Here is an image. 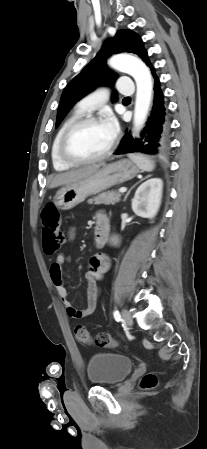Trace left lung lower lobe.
<instances>
[{
	"mask_svg": "<svg viewBox=\"0 0 207 449\" xmlns=\"http://www.w3.org/2000/svg\"><path fill=\"white\" fill-rule=\"evenodd\" d=\"M150 68L154 79V99L151 115L145 128L140 133L139 139L126 133L116 152V155L140 152L150 155L163 153L167 149L169 134V119L165 106L164 95L160 87L159 77L156 75L154 66L150 63Z\"/></svg>",
	"mask_w": 207,
	"mask_h": 449,
	"instance_id": "0a47b994",
	"label": "left lung lower lobe"
}]
</instances>
